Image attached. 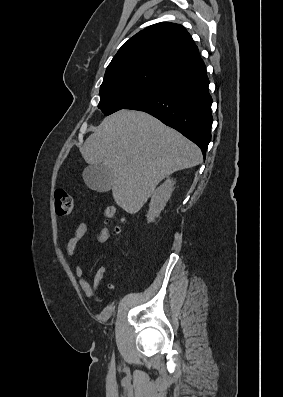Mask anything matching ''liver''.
<instances>
[{"instance_id":"6515ba94","label":"liver","mask_w":283,"mask_h":397,"mask_svg":"<svg viewBox=\"0 0 283 397\" xmlns=\"http://www.w3.org/2000/svg\"><path fill=\"white\" fill-rule=\"evenodd\" d=\"M82 156L113 170L112 195L127 213H137L170 174L202 162L199 147L153 116L119 110L85 141Z\"/></svg>"}]
</instances>
